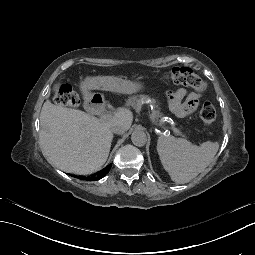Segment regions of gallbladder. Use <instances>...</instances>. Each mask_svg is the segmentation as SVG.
Segmentation results:
<instances>
[{
    "label": "gallbladder",
    "instance_id": "gallbladder-1",
    "mask_svg": "<svg viewBox=\"0 0 255 255\" xmlns=\"http://www.w3.org/2000/svg\"><path fill=\"white\" fill-rule=\"evenodd\" d=\"M62 86H63L62 81L56 82V83L53 85V87H52V92H53L54 94H58L59 91H60V89L62 88Z\"/></svg>",
    "mask_w": 255,
    "mask_h": 255
}]
</instances>
